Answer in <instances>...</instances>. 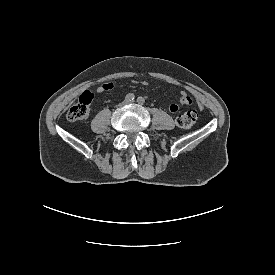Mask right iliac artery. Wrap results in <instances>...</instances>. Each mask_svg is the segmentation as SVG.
Masks as SVG:
<instances>
[{"instance_id": "82829eb1", "label": "right iliac artery", "mask_w": 275, "mask_h": 275, "mask_svg": "<svg viewBox=\"0 0 275 275\" xmlns=\"http://www.w3.org/2000/svg\"><path fill=\"white\" fill-rule=\"evenodd\" d=\"M126 100L132 102L134 100V95L132 93L128 94Z\"/></svg>"}]
</instances>
